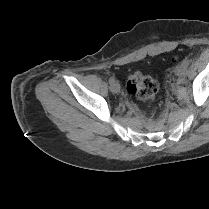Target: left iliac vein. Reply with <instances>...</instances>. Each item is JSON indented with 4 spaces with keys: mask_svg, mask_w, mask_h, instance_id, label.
Wrapping results in <instances>:
<instances>
[{
    "mask_svg": "<svg viewBox=\"0 0 209 209\" xmlns=\"http://www.w3.org/2000/svg\"><path fill=\"white\" fill-rule=\"evenodd\" d=\"M186 68L183 66V64L181 63L180 65H178L176 68H175V73L176 75L178 76H182L185 72ZM180 82V80H179Z\"/></svg>",
    "mask_w": 209,
    "mask_h": 209,
    "instance_id": "4c4485c4",
    "label": "left iliac vein"
}]
</instances>
